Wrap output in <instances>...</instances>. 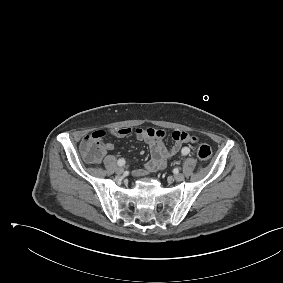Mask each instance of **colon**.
<instances>
[{"label":"colon","mask_w":283,"mask_h":283,"mask_svg":"<svg viewBox=\"0 0 283 283\" xmlns=\"http://www.w3.org/2000/svg\"><path fill=\"white\" fill-rule=\"evenodd\" d=\"M106 133L103 130L96 131L86 136L80 145L81 151L85 158L91 162H98L103 156V144L101 140ZM212 155L211 147L208 144H201L197 149V156L202 161H207Z\"/></svg>","instance_id":"colon-1"}]
</instances>
